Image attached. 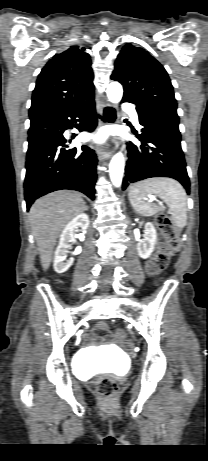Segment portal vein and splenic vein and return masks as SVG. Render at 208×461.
<instances>
[{"label": "portal vein and splenic vein", "instance_id": "18ae733b", "mask_svg": "<svg viewBox=\"0 0 208 461\" xmlns=\"http://www.w3.org/2000/svg\"><path fill=\"white\" fill-rule=\"evenodd\" d=\"M149 202H153V201H158L155 197L151 196L149 197ZM160 202V201H159ZM161 203V202H160Z\"/></svg>", "mask_w": 208, "mask_h": 461}]
</instances>
